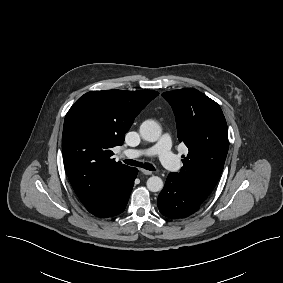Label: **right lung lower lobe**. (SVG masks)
Returning <instances> with one entry per match:
<instances>
[{"label": "right lung lower lobe", "mask_w": 283, "mask_h": 283, "mask_svg": "<svg viewBox=\"0 0 283 283\" xmlns=\"http://www.w3.org/2000/svg\"><path fill=\"white\" fill-rule=\"evenodd\" d=\"M137 174L138 170L131 167L123 176L113 181L102 204L90 213L101 218L122 213L127 205Z\"/></svg>", "instance_id": "right-lung-lower-lobe-1"}]
</instances>
